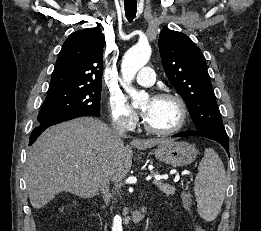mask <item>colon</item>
Wrapping results in <instances>:
<instances>
[{
  "label": "colon",
  "instance_id": "obj_1",
  "mask_svg": "<svg viewBox=\"0 0 261 231\" xmlns=\"http://www.w3.org/2000/svg\"><path fill=\"white\" fill-rule=\"evenodd\" d=\"M196 231H205V229H204L203 227H201V226H198V227L196 228Z\"/></svg>",
  "mask_w": 261,
  "mask_h": 231
}]
</instances>
